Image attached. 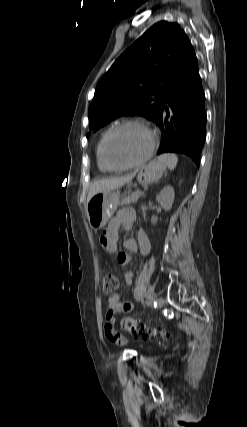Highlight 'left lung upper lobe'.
<instances>
[{
    "label": "left lung upper lobe",
    "mask_w": 247,
    "mask_h": 427,
    "mask_svg": "<svg viewBox=\"0 0 247 427\" xmlns=\"http://www.w3.org/2000/svg\"><path fill=\"white\" fill-rule=\"evenodd\" d=\"M197 66L194 49L180 25L156 23L97 84L88 110L89 128L96 131L122 115H142L156 122L169 92Z\"/></svg>",
    "instance_id": "obj_1"
}]
</instances>
